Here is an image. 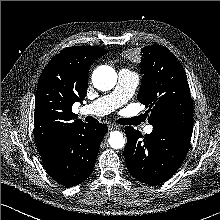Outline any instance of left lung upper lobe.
<instances>
[{
    "instance_id": "5c2ea615",
    "label": "left lung upper lobe",
    "mask_w": 220,
    "mask_h": 220,
    "mask_svg": "<svg viewBox=\"0 0 220 220\" xmlns=\"http://www.w3.org/2000/svg\"><path fill=\"white\" fill-rule=\"evenodd\" d=\"M141 53L138 100L149 107L148 122L153 128L192 133L193 102L182 65L164 46H146Z\"/></svg>"
}]
</instances>
